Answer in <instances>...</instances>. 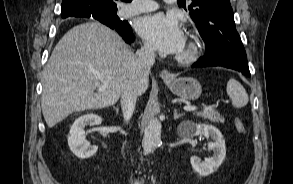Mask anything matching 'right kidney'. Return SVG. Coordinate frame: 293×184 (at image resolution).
Wrapping results in <instances>:
<instances>
[{
	"instance_id": "1",
	"label": "right kidney",
	"mask_w": 293,
	"mask_h": 184,
	"mask_svg": "<svg viewBox=\"0 0 293 184\" xmlns=\"http://www.w3.org/2000/svg\"><path fill=\"white\" fill-rule=\"evenodd\" d=\"M102 123V118L90 113L83 115L75 120L70 128L68 145L72 153L80 159H88L96 154L98 147L90 146L86 140L84 128L87 125L94 126Z\"/></svg>"
}]
</instances>
